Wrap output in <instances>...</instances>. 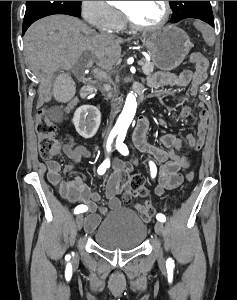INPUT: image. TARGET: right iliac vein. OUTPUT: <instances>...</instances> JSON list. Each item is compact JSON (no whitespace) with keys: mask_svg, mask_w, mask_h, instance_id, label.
Wrapping results in <instances>:
<instances>
[{"mask_svg":"<svg viewBox=\"0 0 237 300\" xmlns=\"http://www.w3.org/2000/svg\"><path fill=\"white\" fill-rule=\"evenodd\" d=\"M82 225H83V215L80 214L76 217V228H77V230H81Z\"/></svg>","mask_w":237,"mask_h":300,"instance_id":"1","label":"right iliac vein"}]
</instances>
